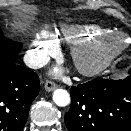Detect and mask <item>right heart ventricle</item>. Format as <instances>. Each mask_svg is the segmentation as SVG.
Wrapping results in <instances>:
<instances>
[{
    "label": "right heart ventricle",
    "instance_id": "1",
    "mask_svg": "<svg viewBox=\"0 0 131 131\" xmlns=\"http://www.w3.org/2000/svg\"><path fill=\"white\" fill-rule=\"evenodd\" d=\"M113 32L110 28L97 24H66L52 32L51 37L71 45Z\"/></svg>",
    "mask_w": 131,
    "mask_h": 131
}]
</instances>
